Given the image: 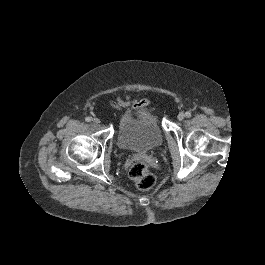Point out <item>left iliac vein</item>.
<instances>
[{"instance_id": "obj_1", "label": "left iliac vein", "mask_w": 265, "mask_h": 265, "mask_svg": "<svg viewBox=\"0 0 265 265\" xmlns=\"http://www.w3.org/2000/svg\"><path fill=\"white\" fill-rule=\"evenodd\" d=\"M177 118H178V120L182 121L185 118V114L184 113H179Z\"/></svg>"}]
</instances>
